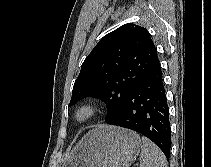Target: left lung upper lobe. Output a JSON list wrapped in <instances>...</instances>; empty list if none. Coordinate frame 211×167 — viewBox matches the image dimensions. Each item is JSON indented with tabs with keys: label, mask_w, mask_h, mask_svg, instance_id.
<instances>
[{
	"label": "left lung upper lobe",
	"mask_w": 211,
	"mask_h": 167,
	"mask_svg": "<svg viewBox=\"0 0 211 167\" xmlns=\"http://www.w3.org/2000/svg\"><path fill=\"white\" fill-rule=\"evenodd\" d=\"M158 55L147 29L125 24L104 36L84 60L69 106L84 97L102 99L106 121L120 111L127 96L151 73Z\"/></svg>",
	"instance_id": "1"
}]
</instances>
